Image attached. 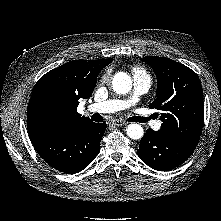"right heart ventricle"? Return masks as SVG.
<instances>
[{
  "label": "right heart ventricle",
  "instance_id": "obj_1",
  "mask_svg": "<svg viewBox=\"0 0 221 221\" xmlns=\"http://www.w3.org/2000/svg\"><path fill=\"white\" fill-rule=\"evenodd\" d=\"M133 72H134V76L135 75H147L146 72L141 68H135Z\"/></svg>",
  "mask_w": 221,
  "mask_h": 221
}]
</instances>
